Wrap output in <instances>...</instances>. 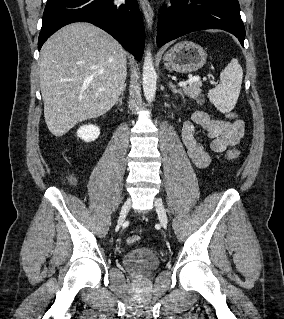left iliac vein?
Instances as JSON below:
<instances>
[{"label": "left iliac vein", "instance_id": "1", "mask_svg": "<svg viewBox=\"0 0 284 319\" xmlns=\"http://www.w3.org/2000/svg\"><path fill=\"white\" fill-rule=\"evenodd\" d=\"M154 203H155L156 211L158 213V217H159L161 225L163 227H167L168 218H167V214H166V210L164 208V205L162 204V201L160 199L156 198Z\"/></svg>", "mask_w": 284, "mask_h": 319}]
</instances>
